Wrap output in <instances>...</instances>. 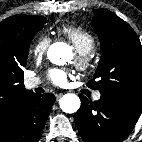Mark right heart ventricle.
<instances>
[{"instance_id":"right-heart-ventricle-1","label":"right heart ventricle","mask_w":142,"mask_h":142,"mask_svg":"<svg viewBox=\"0 0 142 142\" xmlns=\"http://www.w3.org/2000/svg\"><path fill=\"white\" fill-rule=\"evenodd\" d=\"M59 33L69 40L79 53L88 54L96 46L94 36L82 27L74 25L63 26Z\"/></svg>"}]
</instances>
